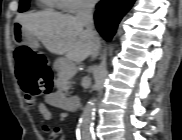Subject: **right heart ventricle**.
Masks as SVG:
<instances>
[{
  "label": "right heart ventricle",
  "instance_id": "e07e8e85",
  "mask_svg": "<svg viewBox=\"0 0 182 140\" xmlns=\"http://www.w3.org/2000/svg\"><path fill=\"white\" fill-rule=\"evenodd\" d=\"M43 4L47 9H59L63 2L62 0H44Z\"/></svg>",
  "mask_w": 182,
  "mask_h": 140
}]
</instances>
